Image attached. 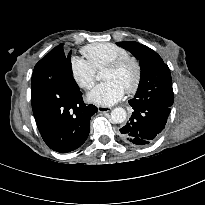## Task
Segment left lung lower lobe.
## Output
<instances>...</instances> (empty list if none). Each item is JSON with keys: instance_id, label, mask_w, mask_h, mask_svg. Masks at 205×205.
<instances>
[{"instance_id": "left-lung-lower-lobe-1", "label": "left lung lower lobe", "mask_w": 205, "mask_h": 205, "mask_svg": "<svg viewBox=\"0 0 205 205\" xmlns=\"http://www.w3.org/2000/svg\"><path fill=\"white\" fill-rule=\"evenodd\" d=\"M129 122L120 129L124 141L144 146L152 143L164 129L171 111L170 107L135 104Z\"/></svg>"}]
</instances>
